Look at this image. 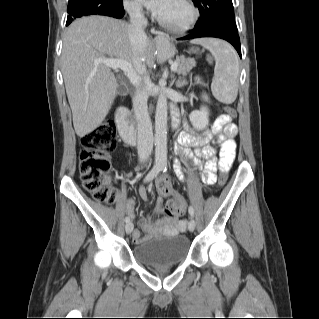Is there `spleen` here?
<instances>
[{
	"label": "spleen",
	"mask_w": 319,
	"mask_h": 319,
	"mask_svg": "<svg viewBox=\"0 0 319 319\" xmlns=\"http://www.w3.org/2000/svg\"><path fill=\"white\" fill-rule=\"evenodd\" d=\"M208 49L215 58L214 78L211 83L213 96L224 104H232L238 94L239 63L234 49L219 39L193 41Z\"/></svg>",
	"instance_id": "3e777b00"
}]
</instances>
